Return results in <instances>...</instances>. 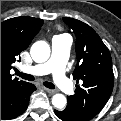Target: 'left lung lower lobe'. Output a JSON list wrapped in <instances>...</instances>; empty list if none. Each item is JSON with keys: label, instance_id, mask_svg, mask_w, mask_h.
<instances>
[{"label": "left lung lower lobe", "instance_id": "left-lung-lower-lobe-1", "mask_svg": "<svg viewBox=\"0 0 121 121\" xmlns=\"http://www.w3.org/2000/svg\"><path fill=\"white\" fill-rule=\"evenodd\" d=\"M54 112L63 121H89L91 119L70 106H67L63 111L54 110Z\"/></svg>", "mask_w": 121, "mask_h": 121}]
</instances>
